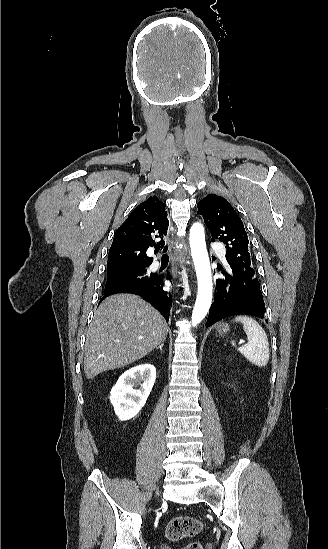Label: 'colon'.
I'll list each match as a JSON object with an SVG mask.
<instances>
[{
  "mask_svg": "<svg viewBox=\"0 0 328 549\" xmlns=\"http://www.w3.org/2000/svg\"><path fill=\"white\" fill-rule=\"evenodd\" d=\"M203 530V524L197 518L191 516H178L172 519L166 529V536L171 541H180L185 538L195 537ZM182 549H202L199 542H191Z\"/></svg>",
  "mask_w": 328,
  "mask_h": 549,
  "instance_id": "colon-1",
  "label": "colon"
}]
</instances>
